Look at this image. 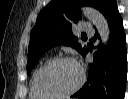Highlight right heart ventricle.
Segmentation results:
<instances>
[{
	"label": "right heart ventricle",
	"mask_w": 128,
	"mask_h": 99,
	"mask_svg": "<svg viewBox=\"0 0 128 99\" xmlns=\"http://www.w3.org/2000/svg\"><path fill=\"white\" fill-rule=\"evenodd\" d=\"M38 69L34 73L33 78H32V81H31V85H30V93H29V96H30L31 99H43V97H47V96H44V95H41L40 93H38L37 90H36V88H35V75H36Z\"/></svg>",
	"instance_id": "e07e8e85"
}]
</instances>
